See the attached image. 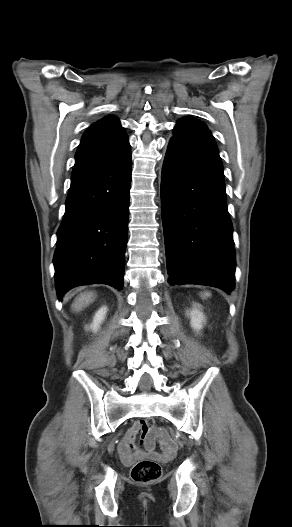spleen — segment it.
<instances>
[{
    "instance_id": "obj_1",
    "label": "spleen",
    "mask_w": 292,
    "mask_h": 527,
    "mask_svg": "<svg viewBox=\"0 0 292 527\" xmlns=\"http://www.w3.org/2000/svg\"><path fill=\"white\" fill-rule=\"evenodd\" d=\"M204 296H205V297H208V296H210V293L206 292V293L204 294Z\"/></svg>"
}]
</instances>
